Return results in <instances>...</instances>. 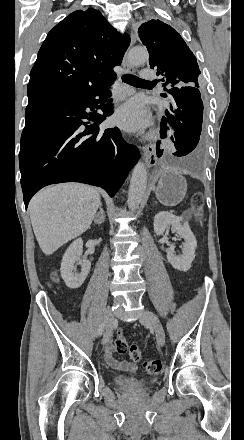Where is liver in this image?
<instances>
[{
  "label": "liver",
  "instance_id": "1",
  "mask_svg": "<svg viewBox=\"0 0 244 440\" xmlns=\"http://www.w3.org/2000/svg\"><path fill=\"white\" fill-rule=\"evenodd\" d=\"M100 204L97 190L84 184H56L40 190L30 202V220L42 252L50 256L86 232Z\"/></svg>",
  "mask_w": 244,
  "mask_h": 440
}]
</instances>
